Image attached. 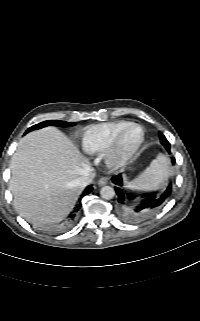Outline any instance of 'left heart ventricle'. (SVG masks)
Listing matches in <instances>:
<instances>
[{"label": "left heart ventricle", "mask_w": 200, "mask_h": 321, "mask_svg": "<svg viewBox=\"0 0 200 321\" xmlns=\"http://www.w3.org/2000/svg\"><path fill=\"white\" fill-rule=\"evenodd\" d=\"M141 137V130L139 128H132L130 129L124 139H123V148L128 149L132 147Z\"/></svg>", "instance_id": "1"}]
</instances>
